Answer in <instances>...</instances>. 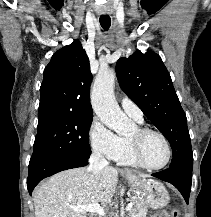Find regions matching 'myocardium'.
<instances>
[{
	"mask_svg": "<svg viewBox=\"0 0 211 217\" xmlns=\"http://www.w3.org/2000/svg\"><path fill=\"white\" fill-rule=\"evenodd\" d=\"M150 134H155L161 137L167 147V158H166V161L162 165L150 166L145 162L143 158L142 144H143L144 139ZM129 144H130V150H131L133 159L140 167L144 169L151 170V171L161 170V169H164L166 166H168V164L171 161V158H172L171 144L168 138L166 137V135L159 130L147 128V127H139L136 130V134L132 137H129Z\"/></svg>",
	"mask_w": 211,
	"mask_h": 217,
	"instance_id": "1",
	"label": "myocardium"
}]
</instances>
